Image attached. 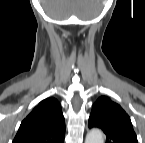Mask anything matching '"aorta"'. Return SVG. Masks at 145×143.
I'll use <instances>...</instances> for the list:
<instances>
[{
    "instance_id": "762f6f07",
    "label": "aorta",
    "mask_w": 145,
    "mask_h": 143,
    "mask_svg": "<svg viewBox=\"0 0 145 143\" xmlns=\"http://www.w3.org/2000/svg\"><path fill=\"white\" fill-rule=\"evenodd\" d=\"M85 143H104V136L100 129H92L86 136Z\"/></svg>"
}]
</instances>
